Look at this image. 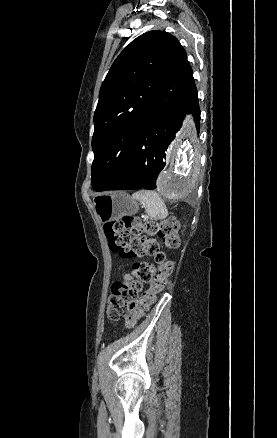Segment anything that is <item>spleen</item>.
<instances>
[{"label":"spleen","mask_w":277,"mask_h":438,"mask_svg":"<svg viewBox=\"0 0 277 438\" xmlns=\"http://www.w3.org/2000/svg\"><path fill=\"white\" fill-rule=\"evenodd\" d=\"M134 200H138L146 208L148 216L151 218H157V220H163L168 216V210L157 192H150V190H140L132 194Z\"/></svg>","instance_id":"3e777b00"}]
</instances>
